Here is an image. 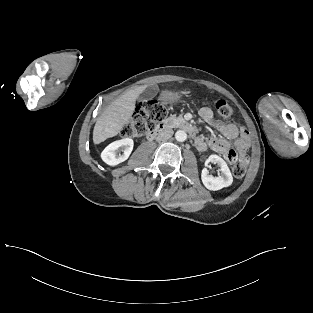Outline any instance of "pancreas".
Masks as SVG:
<instances>
[{"instance_id":"cf45deb5","label":"pancreas","mask_w":313,"mask_h":313,"mask_svg":"<svg viewBox=\"0 0 313 313\" xmlns=\"http://www.w3.org/2000/svg\"><path fill=\"white\" fill-rule=\"evenodd\" d=\"M182 117H176L175 115L171 116L168 118L166 121L169 122L170 124H174L177 120H181Z\"/></svg>"}]
</instances>
